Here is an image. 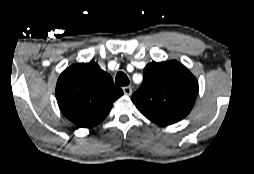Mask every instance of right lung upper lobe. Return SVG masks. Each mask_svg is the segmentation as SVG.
<instances>
[{
    "instance_id": "obj_1",
    "label": "right lung upper lobe",
    "mask_w": 254,
    "mask_h": 174,
    "mask_svg": "<svg viewBox=\"0 0 254 174\" xmlns=\"http://www.w3.org/2000/svg\"><path fill=\"white\" fill-rule=\"evenodd\" d=\"M122 95V89L113 83L110 74L95 62L70 66L61 73L56 85L60 110L80 128L99 124Z\"/></svg>"
}]
</instances>
